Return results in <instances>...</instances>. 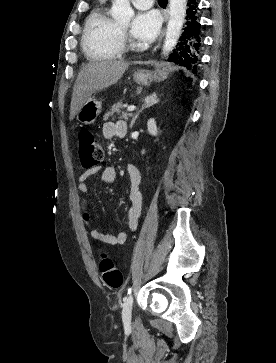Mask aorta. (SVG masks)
<instances>
[{
    "label": "aorta",
    "instance_id": "762f6f07",
    "mask_svg": "<svg viewBox=\"0 0 276 363\" xmlns=\"http://www.w3.org/2000/svg\"><path fill=\"white\" fill-rule=\"evenodd\" d=\"M186 0H170V18L162 47V54L167 56L176 46L181 35L186 14ZM111 15L119 23L128 24L134 15L129 0H113Z\"/></svg>",
    "mask_w": 276,
    "mask_h": 363
}]
</instances>
